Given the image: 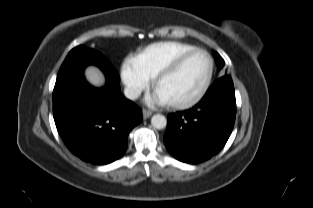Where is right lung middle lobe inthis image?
<instances>
[{
  "label": "right lung middle lobe",
  "mask_w": 313,
  "mask_h": 208,
  "mask_svg": "<svg viewBox=\"0 0 313 208\" xmlns=\"http://www.w3.org/2000/svg\"><path fill=\"white\" fill-rule=\"evenodd\" d=\"M80 47H81V46H78V47L74 48L73 50H77V49H80Z\"/></svg>",
  "instance_id": "right-lung-middle-lobe-1"
}]
</instances>
